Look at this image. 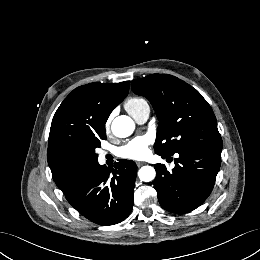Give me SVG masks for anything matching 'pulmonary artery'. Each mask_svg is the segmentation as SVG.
Here are the masks:
<instances>
[{
    "instance_id": "obj_1",
    "label": "pulmonary artery",
    "mask_w": 260,
    "mask_h": 260,
    "mask_svg": "<svg viewBox=\"0 0 260 260\" xmlns=\"http://www.w3.org/2000/svg\"><path fill=\"white\" fill-rule=\"evenodd\" d=\"M129 114L136 120V122L142 124L149 118L150 107L148 104H145L136 111L129 112Z\"/></svg>"
}]
</instances>
